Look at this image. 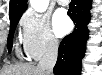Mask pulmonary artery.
<instances>
[{"label":"pulmonary artery","mask_w":102,"mask_h":75,"mask_svg":"<svg viewBox=\"0 0 102 75\" xmlns=\"http://www.w3.org/2000/svg\"><path fill=\"white\" fill-rule=\"evenodd\" d=\"M58 2L61 3V4H64V3H66L67 1H66V0H58Z\"/></svg>","instance_id":"obj_1"}]
</instances>
